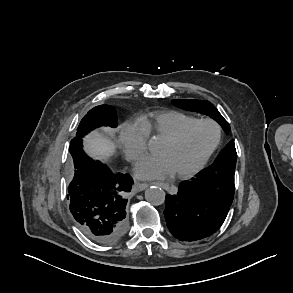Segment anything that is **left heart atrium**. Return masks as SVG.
<instances>
[{
    "label": "left heart atrium",
    "mask_w": 293,
    "mask_h": 293,
    "mask_svg": "<svg viewBox=\"0 0 293 293\" xmlns=\"http://www.w3.org/2000/svg\"><path fill=\"white\" fill-rule=\"evenodd\" d=\"M135 173L143 179H164L175 172L167 157L159 154L141 159L135 166Z\"/></svg>",
    "instance_id": "obj_1"
}]
</instances>
